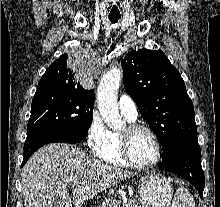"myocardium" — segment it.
<instances>
[{
  "label": "myocardium",
  "mask_w": 220,
  "mask_h": 207,
  "mask_svg": "<svg viewBox=\"0 0 220 207\" xmlns=\"http://www.w3.org/2000/svg\"><path fill=\"white\" fill-rule=\"evenodd\" d=\"M138 130L146 131L152 137L155 143L157 156H156V159L151 163H148V164L138 163L131 156L130 148H129V136L131 133L138 131ZM119 149H120V153L123 159L130 166L138 168V169H150V168L157 166L159 162L161 161L162 153H163L162 145L156 133L149 126L140 124V123H134V122L129 123L126 126L125 131L119 134Z\"/></svg>",
  "instance_id": "obj_1"
}]
</instances>
